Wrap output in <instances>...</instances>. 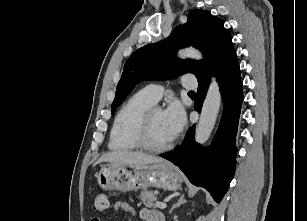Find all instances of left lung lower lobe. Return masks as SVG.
<instances>
[{
    "label": "left lung lower lobe",
    "instance_id": "obj_1",
    "mask_svg": "<svg viewBox=\"0 0 307 221\" xmlns=\"http://www.w3.org/2000/svg\"><path fill=\"white\" fill-rule=\"evenodd\" d=\"M220 86L224 108L212 145L199 147L194 141L195 125L188 131L182 145L160 155L177 165L191 183L206 188L220 202L234 175L236 165V133L243 101L240 68L234 52L214 74ZM210 77L198 81L194 108L200 112Z\"/></svg>",
    "mask_w": 307,
    "mask_h": 221
}]
</instances>
